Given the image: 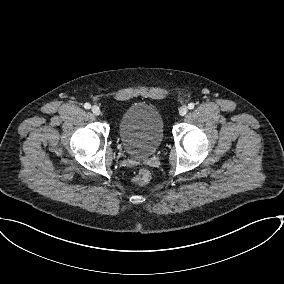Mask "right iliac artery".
<instances>
[{
    "label": "right iliac artery",
    "instance_id": "1",
    "mask_svg": "<svg viewBox=\"0 0 284 284\" xmlns=\"http://www.w3.org/2000/svg\"><path fill=\"white\" fill-rule=\"evenodd\" d=\"M84 108H85V109H90V108H91V105H90L89 103H85V104H84Z\"/></svg>",
    "mask_w": 284,
    "mask_h": 284
}]
</instances>
